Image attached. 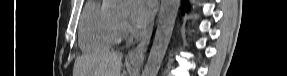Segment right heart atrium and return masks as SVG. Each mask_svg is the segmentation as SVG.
Segmentation results:
<instances>
[{
	"label": "right heart atrium",
	"mask_w": 287,
	"mask_h": 76,
	"mask_svg": "<svg viewBox=\"0 0 287 76\" xmlns=\"http://www.w3.org/2000/svg\"><path fill=\"white\" fill-rule=\"evenodd\" d=\"M119 29L121 36H124L129 32V25L127 24V22L122 21L120 22Z\"/></svg>",
	"instance_id": "right-heart-atrium-1"
}]
</instances>
